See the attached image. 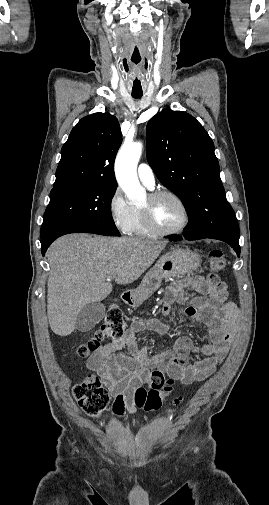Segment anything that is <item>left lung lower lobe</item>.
<instances>
[{"mask_svg": "<svg viewBox=\"0 0 269 505\" xmlns=\"http://www.w3.org/2000/svg\"><path fill=\"white\" fill-rule=\"evenodd\" d=\"M184 238L187 240H198V239H204V238L222 240V241L228 243L234 249V251L237 253L238 257L240 256L239 237H236V236L220 234V235H213V236H209V237H200V238H192V237L184 236ZM178 239H182V237L175 236L171 240H178Z\"/></svg>", "mask_w": 269, "mask_h": 505, "instance_id": "0a47b994", "label": "left lung lower lobe"}]
</instances>
